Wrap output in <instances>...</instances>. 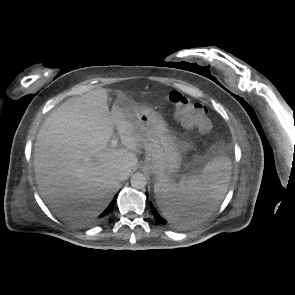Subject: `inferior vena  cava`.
<instances>
[{"label":"inferior vena cava","mask_w":295,"mask_h":295,"mask_svg":"<svg viewBox=\"0 0 295 295\" xmlns=\"http://www.w3.org/2000/svg\"><path fill=\"white\" fill-rule=\"evenodd\" d=\"M126 176H127V173H125V172H120V174H119V176H118V179L119 180H124L125 178H126Z\"/></svg>","instance_id":"inferior-vena-cava-1"}]
</instances>
